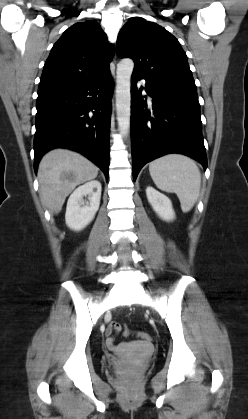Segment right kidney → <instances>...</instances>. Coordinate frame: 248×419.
<instances>
[{"instance_id": "ca27d5eb", "label": "right kidney", "mask_w": 248, "mask_h": 419, "mask_svg": "<svg viewBox=\"0 0 248 419\" xmlns=\"http://www.w3.org/2000/svg\"><path fill=\"white\" fill-rule=\"evenodd\" d=\"M88 196L89 202L83 197ZM101 198V183L92 180L79 186L69 197L66 207L65 220L67 226L74 230L84 229L95 217L99 209Z\"/></svg>"}]
</instances>
